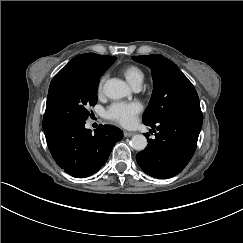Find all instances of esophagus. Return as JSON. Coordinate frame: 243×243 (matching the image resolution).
<instances>
[{
	"mask_svg": "<svg viewBox=\"0 0 243 243\" xmlns=\"http://www.w3.org/2000/svg\"><path fill=\"white\" fill-rule=\"evenodd\" d=\"M134 134H135L134 132H127V131L124 132L125 137H132Z\"/></svg>",
	"mask_w": 243,
	"mask_h": 243,
	"instance_id": "esophagus-1",
	"label": "esophagus"
}]
</instances>
